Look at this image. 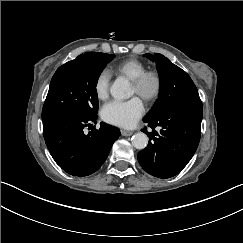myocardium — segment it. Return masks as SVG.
Wrapping results in <instances>:
<instances>
[{
  "mask_svg": "<svg viewBox=\"0 0 243 243\" xmlns=\"http://www.w3.org/2000/svg\"><path fill=\"white\" fill-rule=\"evenodd\" d=\"M150 80H154L155 88L152 92H147L146 86ZM132 83L136 89V94L148 103L158 100L164 91L163 75L155 68L145 69L137 78L132 80Z\"/></svg>",
  "mask_w": 243,
  "mask_h": 243,
  "instance_id": "1",
  "label": "myocardium"
}]
</instances>
